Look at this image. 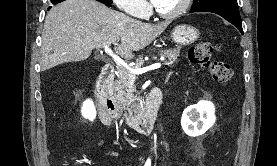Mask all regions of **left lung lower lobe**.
I'll return each instance as SVG.
<instances>
[{"label": "left lung lower lobe", "mask_w": 277, "mask_h": 166, "mask_svg": "<svg viewBox=\"0 0 277 166\" xmlns=\"http://www.w3.org/2000/svg\"><path fill=\"white\" fill-rule=\"evenodd\" d=\"M194 12H212L216 13L220 16H222L224 19L232 23L234 26H236L239 31L243 34V29H242V21L241 17L239 14L238 9H230V8H225V7H212V8H207V9H202ZM193 13V12H190Z\"/></svg>", "instance_id": "obj_1"}]
</instances>
